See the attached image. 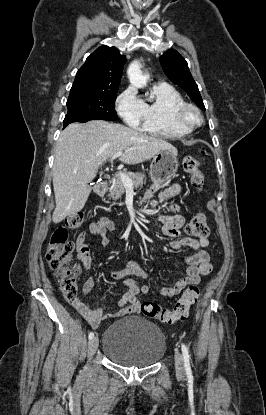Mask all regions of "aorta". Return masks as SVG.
I'll list each match as a JSON object with an SVG mask.
<instances>
[{
	"instance_id": "762f6f07",
	"label": "aorta",
	"mask_w": 266,
	"mask_h": 415,
	"mask_svg": "<svg viewBox=\"0 0 266 415\" xmlns=\"http://www.w3.org/2000/svg\"><path fill=\"white\" fill-rule=\"evenodd\" d=\"M127 73L129 81L133 86L142 88L146 85V78L142 74L141 65L138 61L130 64Z\"/></svg>"
}]
</instances>
